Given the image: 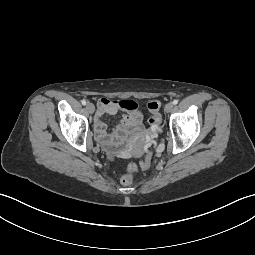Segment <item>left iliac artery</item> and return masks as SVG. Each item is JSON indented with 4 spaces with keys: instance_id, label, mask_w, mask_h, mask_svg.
Wrapping results in <instances>:
<instances>
[{
    "instance_id": "1",
    "label": "left iliac artery",
    "mask_w": 255,
    "mask_h": 255,
    "mask_svg": "<svg viewBox=\"0 0 255 255\" xmlns=\"http://www.w3.org/2000/svg\"><path fill=\"white\" fill-rule=\"evenodd\" d=\"M173 104H174V105L178 104V100L175 99V100L173 101Z\"/></svg>"
}]
</instances>
